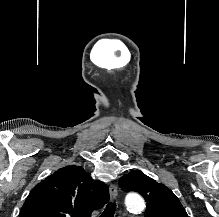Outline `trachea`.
Returning <instances> with one entry per match:
<instances>
[{"instance_id":"1","label":"trachea","mask_w":219,"mask_h":217,"mask_svg":"<svg viewBox=\"0 0 219 217\" xmlns=\"http://www.w3.org/2000/svg\"><path fill=\"white\" fill-rule=\"evenodd\" d=\"M115 210H116V204H110L100 215V217H114Z\"/></svg>"}]
</instances>
